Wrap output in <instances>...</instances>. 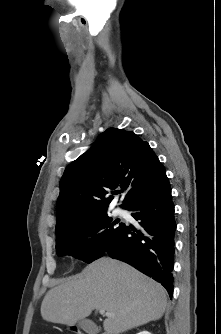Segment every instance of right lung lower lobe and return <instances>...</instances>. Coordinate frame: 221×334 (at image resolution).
<instances>
[{"label":"right lung lower lobe","instance_id":"98d812e1","mask_svg":"<svg viewBox=\"0 0 221 334\" xmlns=\"http://www.w3.org/2000/svg\"><path fill=\"white\" fill-rule=\"evenodd\" d=\"M128 210L134 212L132 216L139 220L141 229L125 225L105 252L161 283L172 298L176 222L166 175Z\"/></svg>","mask_w":221,"mask_h":334}]
</instances>
